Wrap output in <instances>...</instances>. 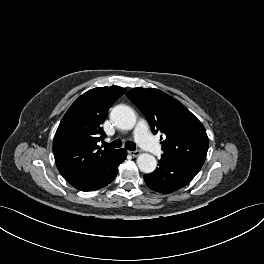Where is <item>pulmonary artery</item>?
Here are the masks:
<instances>
[{"label":"pulmonary artery","mask_w":264,"mask_h":264,"mask_svg":"<svg viewBox=\"0 0 264 264\" xmlns=\"http://www.w3.org/2000/svg\"><path fill=\"white\" fill-rule=\"evenodd\" d=\"M134 135L138 144L154 155L162 153L160 145L154 140L144 120H140L135 128Z\"/></svg>","instance_id":"pulmonary-artery-1"}]
</instances>
